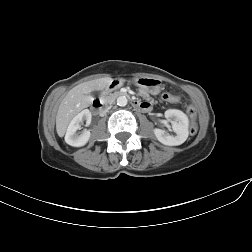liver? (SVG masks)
<instances>
[{
    "mask_svg": "<svg viewBox=\"0 0 252 252\" xmlns=\"http://www.w3.org/2000/svg\"><path fill=\"white\" fill-rule=\"evenodd\" d=\"M113 81L112 78H100L81 83L71 89L61 102L56 115V129L61 136L72 120V118L83 108L88 107L93 102L90 95L92 91L103 90Z\"/></svg>",
    "mask_w": 252,
    "mask_h": 252,
    "instance_id": "6515ba94",
    "label": "liver"
}]
</instances>
